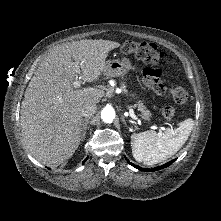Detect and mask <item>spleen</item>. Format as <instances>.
<instances>
[{
	"label": "spleen",
	"mask_w": 221,
	"mask_h": 221,
	"mask_svg": "<svg viewBox=\"0 0 221 221\" xmlns=\"http://www.w3.org/2000/svg\"><path fill=\"white\" fill-rule=\"evenodd\" d=\"M194 127L191 118L178 128H167L164 133L145 131L131 135L132 154L136 161L146 165L160 163L177 153L189 138Z\"/></svg>",
	"instance_id": "3e777b00"
}]
</instances>
